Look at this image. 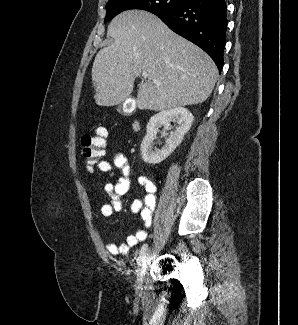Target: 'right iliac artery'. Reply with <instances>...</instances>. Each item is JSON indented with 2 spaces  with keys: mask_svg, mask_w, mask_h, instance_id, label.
I'll use <instances>...</instances> for the list:
<instances>
[{
  "mask_svg": "<svg viewBox=\"0 0 298 325\" xmlns=\"http://www.w3.org/2000/svg\"><path fill=\"white\" fill-rule=\"evenodd\" d=\"M147 247H148L147 244H143V245H142V247H141V249H140V252H139L140 257L145 253V251L147 250Z\"/></svg>",
  "mask_w": 298,
  "mask_h": 325,
  "instance_id": "right-iliac-artery-1",
  "label": "right iliac artery"
}]
</instances>
